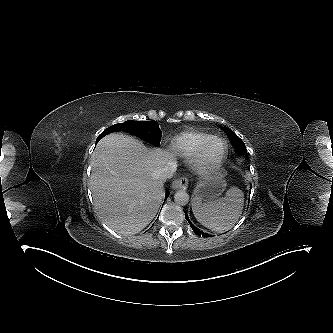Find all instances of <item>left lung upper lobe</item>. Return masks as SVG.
Listing matches in <instances>:
<instances>
[{"instance_id":"5c2ea615","label":"left lung upper lobe","mask_w":333,"mask_h":333,"mask_svg":"<svg viewBox=\"0 0 333 333\" xmlns=\"http://www.w3.org/2000/svg\"><path fill=\"white\" fill-rule=\"evenodd\" d=\"M222 129L227 133L232 145L234 146L237 155H242L247 152L244 142L230 129L222 127Z\"/></svg>"}]
</instances>
